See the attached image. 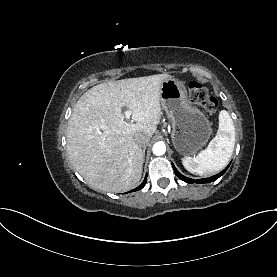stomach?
I'll use <instances>...</instances> for the list:
<instances>
[{"instance_id": "obj_1", "label": "stomach", "mask_w": 277, "mask_h": 277, "mask_svg": "<svg viewBox=\"0 0 277 277\" xmlns=\"http://www.w3.org/2000/svg\"><path fill=\"white\" fill-rule=\"evenodd\" d=\"M160 101L172 125L171 140L175 150L184 156L195 155L212 134V123L193 106L184 84L173 77L162 82Z\"/></svg>"}]
</instances>
